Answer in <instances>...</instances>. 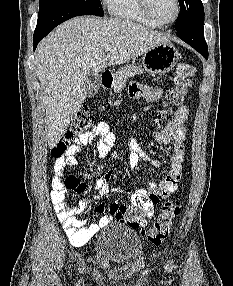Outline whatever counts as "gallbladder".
Here are the masks:
<instances>
[{
	"mask_svg": "<svg viewBox=\"0 0 233 286\" xmlns=\"http://www.w3.org/2000/svg\"><path fill=\"white\" fill-rule=\"evenodd\" d=\"M100 85H101L100 75L98 73H95V72L89 73L87 76L86 83H85L87 96L89 98L95 96L96 93L98 92L99 88H100Z\"/></svg>",
	"mask_w": 233,
	"mask_h": 286,
	"instance_id": "bac80fb5",
	"label": "gallbladder"
}]
</instances>
